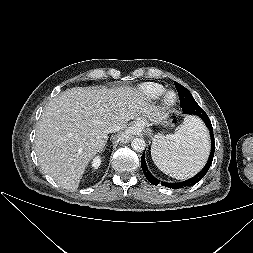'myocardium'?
I'll use <instances>...</instances> for the list:
<instances>
[{
    "label": "myocardium",
    "mask_w": 253,
    "mask_h": 253,
    "mask_svg": "<svg viewBox=\"0 0 253 253\" xmlns=\"http://www.w3.org/2000/svg\"><path fill=\"white\" fill-rule=\"evenodd\" d=\"M177 94L174 91H166L163 95V103L165 107L169 108L176 104Z\"/></svg>",
    "instance_id": "myocardium-1"
}]
</instances>
